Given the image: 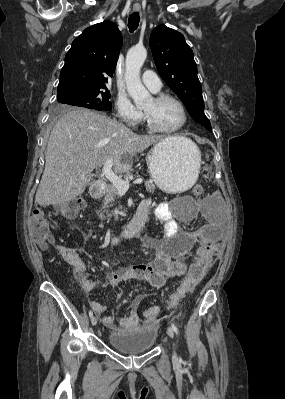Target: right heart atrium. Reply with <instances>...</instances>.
Instances as JSON below:
<instances>
[{
    "label": "right heart atrium",
    "mask_w": 285,
    "mask_h": 399,
    "mask_svg": "<svg viewBox=\"0 0 285 399\" xmlns=\"http://www.w3.org/2000/svg\"><path fill=\"white\" fill-rule=\"evenodd\" d=\"M117 117L132 126L137 125L142 119V112L132 103L126 95H119L116 101Z\"/></svg>",
    "instance_id": "d8ad5b80"
}]
</instances>
